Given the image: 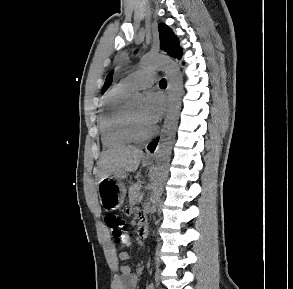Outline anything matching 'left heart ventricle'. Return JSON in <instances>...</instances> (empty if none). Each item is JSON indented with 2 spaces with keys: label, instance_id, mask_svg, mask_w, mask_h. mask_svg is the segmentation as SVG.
Wrapping results in <instances>:
<instances>
[{
  "label": "left heart ventricle",
  "instance_id": "1",
  "mask_svg": "<svg viewBox=\"0 0 293 289\" xmlns=\"http://www.w3.org/2000/svg\"><path fill=\"white\" fill-rule=\"evenodd\" d=\"M131 115L135 121L137 129L140 134H147L152 129V126L148 125L143 119V107L142 105H136L130 107Z\"/></svg>",
  "mask_w": 293,
  "mask_h": 289
}]
</instances>
